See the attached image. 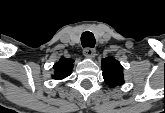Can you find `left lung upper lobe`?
Instances as JSON below:
<instances>
[{
	"label": "left lung upper lobe",
	"instance_id": "obj_1",
	"mask_svg": "<svg viewBox=\"0 0 165 113\" xmlns=\"http://www.w3.org/2000/svg\"><path fill=\"white\" fill-rule=\"evenodd\" d=\"M103 77L111 87L121 85L123 80V67L113 57H107L102 60Z\"/></svg>",
	"mask_w": 165,
	"mask_h": 113
}]
</instances>
